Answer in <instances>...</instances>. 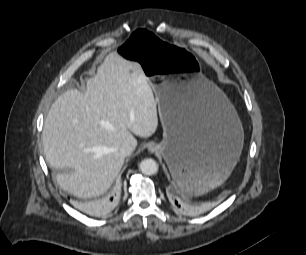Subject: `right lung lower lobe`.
Segmentation results:
<instances>
[{
    "instance_id": "right-lung-lower-lobe-1",
    "label": "right lung lower lobe",
    "mask_w": 306,
    "mask_h": 255,
    "mask_svg": "<svg viewBox=\"0 0 306 255\" xmlns=\"http://www.w3.org/2000/svg\"><path fill=\"white\" fill-rule=\"evenodd\" d=\"M81 207L86 212H90V213H95V212L101 210V204L100 203H82Z\"/></svg>"
}]
</instances>
